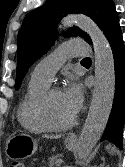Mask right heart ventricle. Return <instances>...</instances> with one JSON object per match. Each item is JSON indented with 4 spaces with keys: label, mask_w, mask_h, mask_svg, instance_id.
I'll list each match as a JSON object with an SVG mask.
<instances>
[{
    "label": "right heart ventricle",
    "mask_w": 125,
    "mask_h": 167,
    "mask_svg": "<svg viewBox=\"0 0 125 167\" xmlns=\"http://www.w3.org/2000/svg\"><path fill=\"white\" fill-rule=\"evenodd\" d=\"M48 87L49 84L31 77L27 91L17 109L18 122L24 129L33 134L47 131L37 119L36 106L39 98Z\"/></svg>",
    "instance_id": "right-heart-ventricle-1"
}]
</instances>
